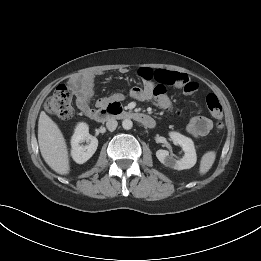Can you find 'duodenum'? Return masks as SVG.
I'll return each instance as SVG.
<instances>
[{
    "instance_id": "410a0bca",
    "label": "duodenum",
    "mask_w": 261,
    "mask_h": 261,
    "mask_svg": "<svg viewBox=\"0 0 261 261\" xmlns=\"http://www.w3.org/2000/svg\"><path fill=\"white\" fill-rule=\"evenodd\" d=\"M88 116L97 121H102L112 117H118L122 119L135 120L149 128L155 126L154 120L149 115L126 110L121 106L119 102H112L97 110H93L88 114Z\"/></svg>"
}]
</instances>
